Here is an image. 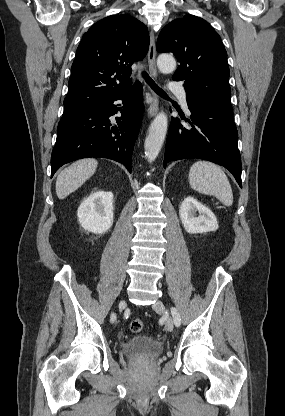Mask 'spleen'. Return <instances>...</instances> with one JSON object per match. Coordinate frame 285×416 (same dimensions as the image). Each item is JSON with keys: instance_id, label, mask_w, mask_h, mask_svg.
Wrapping results in <instances>:
<instances>
[{"instance_id": "spleen-1", "label": "spleen", "mask_w": 285, "mask_h": 416, "mask_svg": "<svg viewBox=\"0 0 285 416\" xmlns=\"http://www.w3.org/2000/svg\"><path fill=\"white\" fill-rule=\"evenodd\" d=\"M189 184L206 196H215L224 206H232L233 192L223 170L210 162H195L189 170Z\"/></svg>"}]
</instances>
